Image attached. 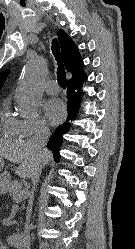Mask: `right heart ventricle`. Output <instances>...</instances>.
<instances>
[{
	"mask_svg": "<svg viewBox=\"0 0 135 249\" xmlns=\"http://www.w3.org/2000/svg\"><path fill=\"white\" fill-rule=\"evenodd\" d=\"M0 136L7 139L21 137L19 120L12 115L8 102H5L0 110Z\"/></svg>",
	"mask_w": 135,
	"mask_h": 249,
	"instance_id": "e07e8e85",
	"label": "right heart ventricle"
}]
</instances>
